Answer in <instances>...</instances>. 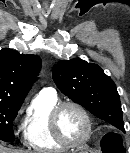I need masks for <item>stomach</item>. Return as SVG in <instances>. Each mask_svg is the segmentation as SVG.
Returning <instances> with one entry per match:
<instances>
[{
    "label": "stomach",
    "instance_id": "0dacf381",
    "mask_svg": "<svg viewBox=\"0 0 130 153\" xmlns=\"http://www.w3.org/2000/svg\"><path fill=\"white\" fill-rule=\"evenodd\" d=\"M75 153H87V151L80 150V151H76Z\"/></svg>",
    "mask_w": 130,
    "mask_h": 153
}]
</instances>
